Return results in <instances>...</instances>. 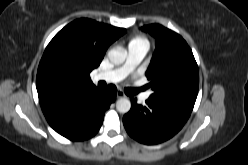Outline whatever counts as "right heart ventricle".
I'll list each match as a JSON object with an SVG mask.
<instances>
[{"mask_svg":"<svg viewBox=\"0 0 248 165\" xmlns=\"http://www.w3.org/2000/svg\"><path fill=\"white\" fill-rule=\"evenodd\" d=\"M131 43H144V44H147L146 40L144 38H142V37H136V38L132 39L129 44H131Z\"/></svg>","mask_w":248,"mask_h":165,"instance_id":"1","label":"right heart ventricle"}]
</instances>
